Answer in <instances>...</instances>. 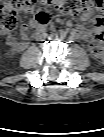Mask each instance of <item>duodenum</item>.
<instances>
[{
    "label": "duodenum",
    "instance_id": "1",
    "mask_svg": "<svg viewBox=\"0 0 104 137\" xmlns=\"http://www.w3.org/2000/svg\"><path fill=\"white\" fill-rule=\"evenodd\" d=\"M41 34H42V29H37V30H35V33L33 34V37L41 36Z\"/></svg>",
    "mask_w": 104,
    "mask_h": 137
}]
</instances>
